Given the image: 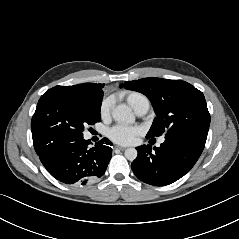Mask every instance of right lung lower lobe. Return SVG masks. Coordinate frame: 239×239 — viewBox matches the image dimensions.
<instances>
[{
	"instance_id": "right-lung-lower-lobe-1",
	"label": "right lung lower lobe",
	"mask_w": 239,
	"mask_h": 239,
	"mask_svg": "<svg viewBox=\"0 0 239 239\" xmlns=\"http://www.w3.org/2000/svg\"><path fill=\"white\" fill-rule=\"evenodd\" d=\"M104 141V142H103ZM83 135L60 136L36 151L47 171L65 184H82L101 177L112 157V143L103 139L94 147Z\"/></svg>"
}]
</instances>
